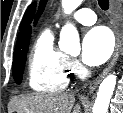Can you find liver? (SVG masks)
<instances>
[{
  "mask_svg": "<svg viewBox=\"0 0 123 113\" xmlns=\"http://www.w3.org/2000/svg\"><path fill=\"white\" fill-rule=\"evenodd\" d=\"M75 103L71 93L42 95L34 94L16 97L12 101V110L17 113H80L81 107Z\"/></svg>",
  "mask_w": 123,
  "mask_h": 113,
  "instance_id": "obj_1",
  "label": "liver"
}]
</instances>
